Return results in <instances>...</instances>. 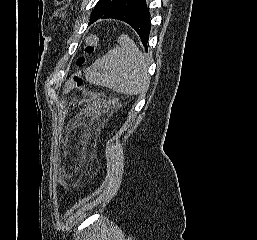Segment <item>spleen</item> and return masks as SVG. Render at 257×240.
<instances>
[{
    "mask_svg": "<svg viewBox=\"0 0 257 240\" xmlns=\"http://www.w3.org/2000/svg\"><path fill=\"white\" fill-rule=\"evenodd\" d=\"M119 46L96 60L86 77L92 84L115 92L137 95L148 89L150 79L143 53L127 35L118 38Z\"/></svg>",
    "mask_w": 257,
    "mask_h": 240,
    "instance_id": "1",
    "label": "spleen"
}]
</instances>
